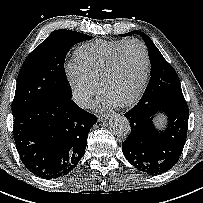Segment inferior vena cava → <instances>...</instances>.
Returning <instances> with one entry per match:
<instances>
[{
  "mask_svg": "<svg viewBox=\"0 0 203 203\" xmlns=\"http://www.w3.org/2000/svg\"><path fill=\"white\" fill-rule=\"evenodd\" d=\"M73 99L80 107L87 108L90 105V96L86 93L75 94Z\"/></svg>",
  "mask_w": 203,
  "mask_h": 203,
  "instance_id": "1",
  "label": "inferior vena cava"
}]
</instances>
